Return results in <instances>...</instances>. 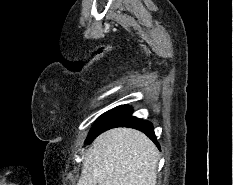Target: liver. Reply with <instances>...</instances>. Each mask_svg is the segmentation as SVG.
Returning a JSON list of instances; mask_svg holds the SVG:
<instances>
[{"label": "liver", "instance_id": "liver-1", "mask_svg": "<svg viewBox=\"0 0 233 185\" xmlns=\"http://www.w3.org/2000/svg\"><path fill=\"white\" fill-rule=\"evenodd\" d=\"M159 152L142 132L115 128L86 152L77 185H155Z\"/></svg>", "mask_w": 233, "mask_h": 185}]
</instances>
